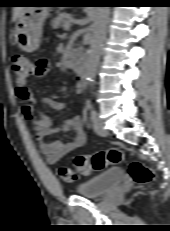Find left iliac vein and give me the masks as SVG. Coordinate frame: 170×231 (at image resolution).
I'll list each match as a JSON object with an SVG mask.
<instances>
[{"label":"left iliac vein","instance_id":"1","mask_svg":"<svg viewBox=\"0 0 170 231\" xmlns=\"http://www.w3.org/2000/svg\"><path fill=\"white\" fill-rule=\"evenodd\" d=\"M94 131L97 135L102 137L108 135V130L99 122L98 117L94 120Z\"/></svg>","mask_w":170,"mask_h":231}]
</instances>
